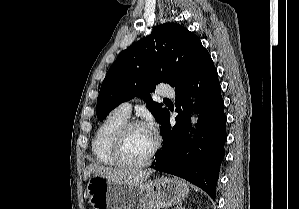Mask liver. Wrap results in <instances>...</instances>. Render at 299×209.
Returning a JSON list of instances; mask_svg holds the SVG:
<instances>
[{
  "mask_svg": "<svg viewBox=\"0 0 299 209\" xmlns=\"http://www.w3.org/2000/svg\"><path fill=\"white\" fill-rule=\"evenodd\" d=\"M152 172V170H126L90 164L84 171V180H87L91 174H98L116 183L139 184L146 181Z\"/></svg>",
  "mask_w": 299,
  "mask_h": 209,
  "instance_id": "liver-1",
  "label": "liver"
}]
</instances>
